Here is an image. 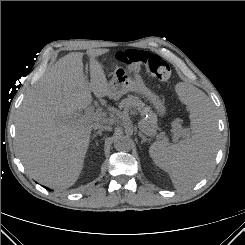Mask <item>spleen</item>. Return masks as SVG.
Wrapping results in <instances>:
<instances>
[{
	"label": "spleen",
	"instance_id": "obj_1",
	"mask_svg": "<svg viewBox=\"0 0 245 245\" xmlns=\"http://www.w3.org/2000/svg\"><path fill=\"white\" fill-rule=\"evenodd\" d=\"M181 99L190 111V135L176 144L156 141L150 157L167 171L174 187L186 190L200 181L211 168L217 150V120L207 95L193 85L181 84Z\"/></svg>",
	"mask_w": 245,
	"mask_h": 245
}]
</instances>
